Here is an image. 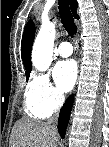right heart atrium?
Here are the masks:
<instances>
[{
  "label": "right heart atrium",
  "mask_w": 109,
  "mask_h": 147,
  "mask_svg": "<svg viewBox=\"0 0 109 147\" xmlns=\"http://www.w3.org/2000/svg\"><path fill=\"white\" fill-rule=\"evenodd\" d=\"M26 96L47 115L58 110L64 102V95L53 86L49 76L44 73H38L32 78Z\"/></svg>",
  "instance_id": "right-heart-atrium-1"
}]
</instances>
